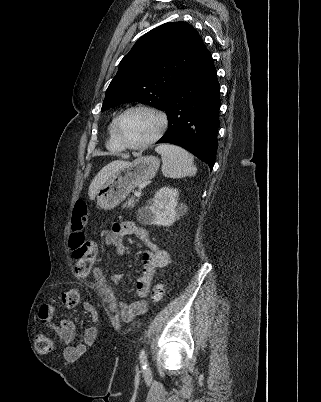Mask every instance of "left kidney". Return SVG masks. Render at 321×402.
I'll list each match as a JSON object with an SVG mask.
<instances>
[{
  "mask_svg": "<svg viewBox=\"0 0 321 402\" xmlns=\"http://www.w3.org/2000/svg\"><path fill=\"white\" fill-rule=\"evenodd\" d=\"M178 197L177 189L160 188L147 206L138 210V220L148 225L171 226L177 216Z\"/></svg>",
  "mask_w": 321,
  "mask_h": 402,
  "instance_id": "left-kidney-1",
  "label": "left kidney"
}]
</instances>
